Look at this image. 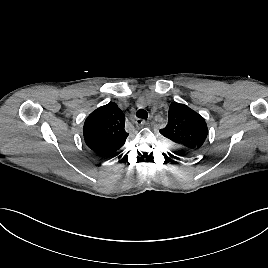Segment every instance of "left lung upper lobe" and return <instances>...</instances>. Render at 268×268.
I'll list each match as a JSON object with an SVG mask.
<instances>
[{
    "instance_id": "left-lung-upper-lobe-1",
    "label": "left lung upper lobe",
    "mask_w": 268,
    "mask_h": 268,
    "mask_svg": "<svg viewBox=\"0 0 268 268\" xmlns=\"http://www.w3.org/2000/svg\"><path fill=\"white\" fill-rule=\"evenodd\" d=\"M160 133L177 148L195 152L204 145L208 129L201 115L184 104L173 102L169 107L168 123Z\"/></svg>"
}]
</instances>
